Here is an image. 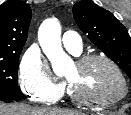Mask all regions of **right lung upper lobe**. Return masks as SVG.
<instances>
[{"mask_svg":"<svg viewBox=\"0 0 131 115\" xmlns=\"http://www.w3.org/2000/svg\"><path fill=\"white\" fill-rule=\"evenodd\" d=\"M31 8L19 0L0 5V56L21 52L28 36Z\"/></svg>","mask_w":131,"mask_h":115,"instance_id":"right-lung-upper-lobe-1","label":"right lung upper lobe"}]
</instances>
